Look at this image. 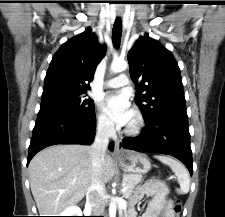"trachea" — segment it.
Instances as JSON below:
<instances>
[{
    "instance_id": "trachea-1",
    "label": "trachea",
    "mask_w": 225,
    "mask_h": 217,
    "mask_svg": "<svg viewBox=\"0 0 225 217\" xmlns=\"http://www.w3.org/2000/svg\"><path fill=\"white\" fill-rule=\"evenodd\" d=\"M122 36V22L120 18H116L113 30H112V41L115 48H118L121 42Z\"/></svg>"
}]
</instances>
